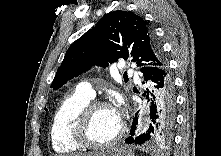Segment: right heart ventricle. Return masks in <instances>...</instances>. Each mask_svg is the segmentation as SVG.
<instances>
[{"instance_id": "right-heart-ventricle-1", "label": "right heart ventricle", "mask_w": 221, "mask_h": 156, "mask_svg": "<svg viewBox=\"0 0 221 156\" xmlns=\"http://www.w3.org/2000/svg\"><path fill=\"white\" fill-rule=\"evenodd\" d=\"M91 99L76 90L67 96L57 108L50 129L51 145L55 152L59 154H71L81 149L73 141L71 130L77 114Z\"/></svg>"}]
</instances>
